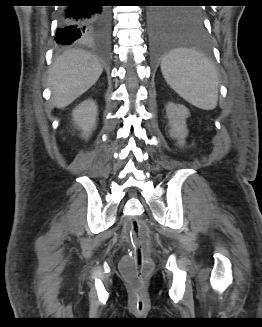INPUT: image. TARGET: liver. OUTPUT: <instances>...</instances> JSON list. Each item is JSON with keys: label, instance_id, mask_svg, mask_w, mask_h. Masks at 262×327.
Listing matches in <instances>:
<instances>
[{"label": "liver", "instance_id": "liver-1", "mask_svg": "<svg viewBox=\"0 0 262 327\" xmlns=\"http://www.w3.org/2000/svg\"><path fill=\"white\" fill-rule=\"evenodd\" d=\"M102 71L98 60L82 50H69L57 57L49 75L54 106L71 104L97 82Z\"/></svg>", "mask_w": 262, "mask_h": 327}]
</instances>
